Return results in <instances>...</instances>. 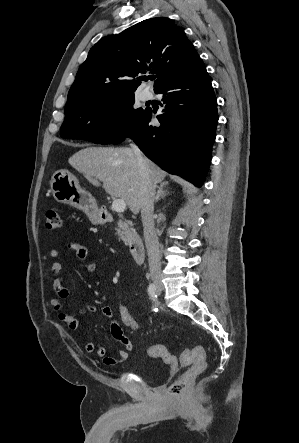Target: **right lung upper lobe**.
<instances>
[{
	"label": "right lung upper lobe",
	"instance_id": "cb5924a9",
	"mask_svg": "<svg viewBox=\"0 0 299 443\" xmlns=\"http://www.w3.org/2000/svg\"><path fill=\"white\" fill-rule=\"evenodd\" d=\"M204 64L182 28L165 17L139 22L100 39L80 66L66 107L91 100L134 94L142 73L154 74V91Z\"/></svg>",
	"mask_w": 299,
	"mask_h": 443
}]
</instances>
